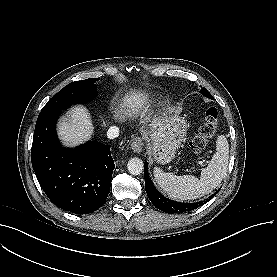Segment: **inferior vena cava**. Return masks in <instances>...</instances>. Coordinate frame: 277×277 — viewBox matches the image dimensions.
Wrapping results in <instances>:
<instances>
[{
    "instance_id": "inferior-vena-cava-1",
    "label": "inferior vena cava",
    "mask_w": 277,
    "mask_h": 277,
    "mask_svg": "<svg viewBox=\"0 0 277 277\" xmlns=\"http://www.w3.org/2000/svg\"><path fill=\"white\" fill-rule=\"evenodd\" d=\"M119 136V128L116 126H112L108 129L107 131V137L109 139H114L117 138Z\"/></svg>"
}]
</instances>
